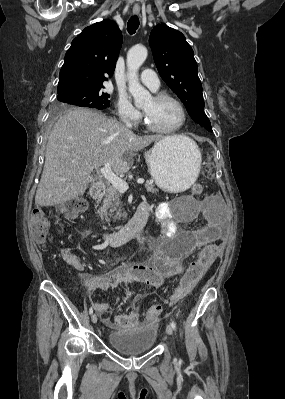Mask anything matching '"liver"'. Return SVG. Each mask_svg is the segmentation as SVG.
Masks as SVG:
<instances>
[{
  "label": "liver",
  "instance_id": "liver-1",
  "mask_svg": "<svg viewBox=\"0 0 285 399\" xmlns=\"http://www.w3.org/2000/svg\"><path fill=\"white\" fill-rule=\"evenodd\" d=\"M172 137L138 136L115 119L84 108L65 113L48 138L45 164L35 196L39 206H55L83 195L93 169L111 163L117 175L129 171L132 152Z\"/></svg>",
  "mask_w": 285,
  "mask_h": 399
}]
</instances>
